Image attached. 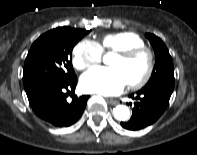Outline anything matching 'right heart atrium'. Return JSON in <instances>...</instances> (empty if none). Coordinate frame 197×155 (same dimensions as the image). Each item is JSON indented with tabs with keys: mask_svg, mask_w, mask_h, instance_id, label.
<instances>
[{
	"mask_svg": "<svg viewBox=\"0 0 197 155\" xmlns=\"http://www.w3.org/2000/svg\"><path fill=\"white\" fill-rule=\"evenodd\" d=\"M103 51L93 40H81L72 51V64L79 71L86 70L102 60Z\"/></svg>",
	"mask_w": 197,
	"mask_h": 155,
	"instance_id": "obj_1",
	"label": "right heart atrium"
}]
</instances>
